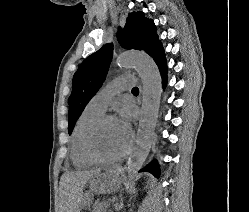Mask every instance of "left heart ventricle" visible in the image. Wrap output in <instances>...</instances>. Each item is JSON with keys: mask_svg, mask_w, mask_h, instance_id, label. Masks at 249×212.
Instances as JSON below:
<instances>
[{"mask_svg": "<svg viewBox=\"0 0 249 212\" xmlns=\"http://www.w3.org/2000/svg\"><path fill=\"white\" fill-rule=\"evenodd\" d=\"M95 148L100 156L107 159L115 158L127 149L116 120L106 121L100 126L95 137Z\"/></svg>", "mask_w": 249, "mask_h": 212, "instance_id": "b2bd125f", "label": "left heart ventricle"}]
</instances>
